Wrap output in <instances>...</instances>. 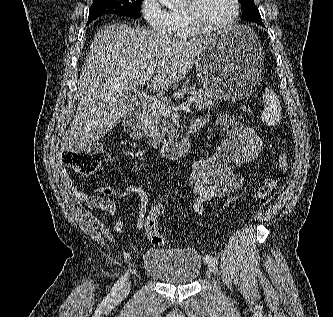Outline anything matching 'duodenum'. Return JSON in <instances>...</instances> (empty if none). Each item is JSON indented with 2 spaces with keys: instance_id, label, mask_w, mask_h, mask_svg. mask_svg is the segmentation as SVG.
Returning a JSON list of instances; mask_svg holds the SVG:
<instances>
[{
  "instance_id": "410a0bca",
  "label": "duodenum",
  "mask_w": 333,
  "mask_h": 317,
  "mask_svg": "<svg viewBox=\"0 0 333 317\" xmlns=\"http://www.w3.org/2000/svg\"><path fill=\"white\" fill-rule=\"evenodd\" d=\"M147 104L140 103L136 105L124 117V128L128 135L135 140H142L144 137L143 128L146 115ZM202 123L192 121L181 138L169 143H165L160 147V153L168 160H176L185 155L191 147L193 137L201 129Z\"/></svg>"
}]
</instances>
